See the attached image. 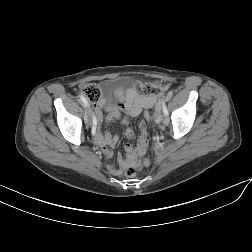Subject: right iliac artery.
<instances>
[{
  "mask_svg": "<svg viewBox=\"0 0 252 252\" xmlns=\"http://www.w3.org/2000/svg\"><path fill=\"white\" fill-rule=\"evenodd\" d=\"M80 99H81V101L83 102V106H84V107H88V106H89L87 100H86L83 96H80ZM92 121H93V122H92L91 125L89 126V131H90V134H91V135L96 136V131H95L94 129L96 128V125H97V123H98V120H97L96 117H93V118H92Z\"/></svg>",
  "mask_w": 252,
  "mask_h": 252,
  "instance_id": "right-iliac-artery-1",
  "label": "right iliac artery"
}]
</instances>
